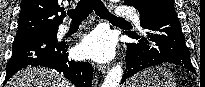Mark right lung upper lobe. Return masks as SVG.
<instances>
[{"label": "right lung upper lobe", "mask_w": 205, "mask_h": 87, "mask_svg": "<svg viewBox=\"0 0 205 87\" xmlns=\"http://www.w3.org/2000/svg\"><path fill=\"white\" fill-rule=\"evenodd\" d=\"M65 16L61 0H22L17 35L57 29Z\"/></svg>", "instance_id": "cb5924a9"}]
</instances>
